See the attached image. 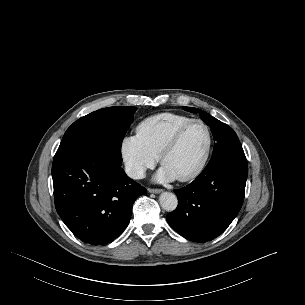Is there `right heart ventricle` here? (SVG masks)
Returning a JSON list of instances; mask_svg holds the SVG:
<instances>
[{
    "mask_svg": "<svg viewBox=\"0 0 305 305\" xmlns=\"http://www.w3.org/2000/svg\"><path fill=\"white\" fill-rule=\"evenodd\" d=\"M192 118L175 114L161 113L143 120L137 126V135L147 148L155 155L159 153L174 132Z\"/></svg>",
    "mask_w": 305,
    "mask_h": 305,
    "instance_id": "obj_1",
    "label": "right heart ventricle"
}]
</instances>
